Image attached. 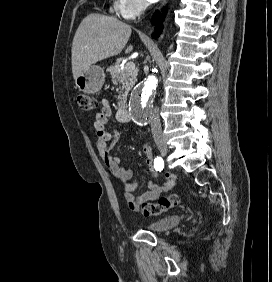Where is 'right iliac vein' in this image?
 Wrapping results in <instances>:
<instances>
[{
	"instance_id": "63e3f726",
	"label": "right iliac vein",
	"mask_w": 272,
	"mask_h": 282,
	"mask_svg": "<svg viewBox=\"0 0 272 282\" xmlns=\"http://www.w3.org/2000/svg\"><path fill=\"white\" fill-rule=\"evenodd\" d=\"M159 152L162 156H166L168 153V146L164 140H159L156 142Z\"/></svg>"
}]
</instances>
